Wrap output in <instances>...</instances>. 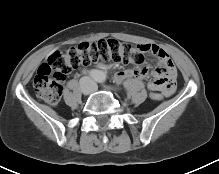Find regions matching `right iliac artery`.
Masks as SVG:
<instances>
[{
    "label": "right iliac artery",
    "mask_w": 219,
    "mask_h": 174,
    "mask_svg": "<svg viewBox=\"0 0 219 174\" xmlns=\"http://www.w3.org/2000/svg\"><path fill=\"white\" fill-rule=\"evenodd\" d=\"M90 75H91L92 77H96V76H97V72L94 71V70H92V71H90Z\"/></svg>",
    "instance_id": "82829eb1"
}]
</instances>
